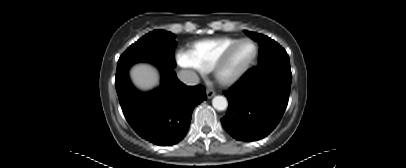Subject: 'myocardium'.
<instances>
[{
	"mask_svg": "<svg viewBox=\"0 0 406 168\" xmlns=\"http://www.w3.org/2000/svg\"><path fill=\"white\" fill-rule=\"evenodd\" d=\"M251 43L254 46V52L253 55L236 71L226 74L225 69L226 66L231 59L232 55L236 51L239 45L242 43ZM259 53L258 46L256 42L249 38H241L235 41L232 45H230L227 49L224 50V52L220 55V57L217 59L212 72L214 74V77L216 81L224 86H230L234 83H236L244 74L245 72L251 67V65L254 63L256 60L257 56Z\"/></svg>",
	"mask_w": 406,
	"mask_h": 168,
	"instance_id": "f54148a6",
	"label": "myocardium"
}]
</instances>
